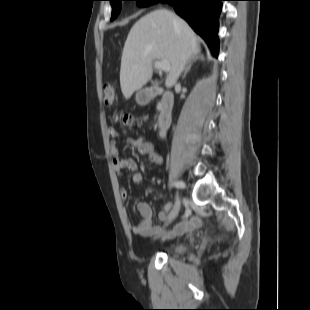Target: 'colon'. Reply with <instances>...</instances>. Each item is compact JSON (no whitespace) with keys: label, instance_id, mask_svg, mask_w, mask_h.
I'll return each instance as SVG.
<instances>
[{"label":"colon","instance_id":"5ec220e1","mask_svg":"<svg viewBox=\"0 0 310 310\" xmlns=\"http://www.w3.org/2000/svg\"><path fill=\"white\" fill-rule=\"evenodd\" d=\"M118 96L117 88L109 83L103 85V102L107 106H112L115 104ZM123 122L125 124H133L134 119L131 116L125 115L123 117Z\"/></svg>","mask_w":310,"mask_h":310}]
</instances>
